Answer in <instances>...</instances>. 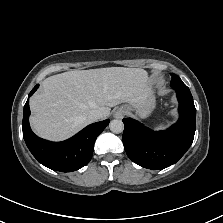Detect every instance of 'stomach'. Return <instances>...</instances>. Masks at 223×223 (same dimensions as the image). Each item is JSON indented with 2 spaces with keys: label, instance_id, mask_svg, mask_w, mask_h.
Here are the masks:
<instances>
[{
  "label": "stomach",
  "instance_id": "1",
  "mask_svg": "<svg viewBox=\"0 0 223 223\" xmlns=\"http://www.w3.org/2000/svg\"><path fill=\"white\" fill-rule=\"evenodd\" d=\"M156 105L155 96L152 90L148 92L147 98L137 104H129L125 105L126 114L130 115L133 111L140 117L146 118L148 117L152 111L154 110Z\"/></svg>",
  "mask_w": 223,
  "mask_h": 223
}]
</instances>
